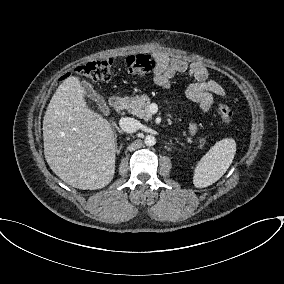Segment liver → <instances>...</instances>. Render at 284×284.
Wrapping results in <instances>:
<instances>
[{"label": "liver", "instance_id": "1", "mask_svg": "<svg viewBox=\"0 0 284 284\" xmlns=\"http://www.w3.org/2000/svg\"><path fill=\"white\" fill-rule=\"evenodd\" d=\"M84 94L75 76L56 89L43 119L44 155L65 183L95 190L113 179L116 146L111 124L87 106Z\"/></svg>", "mask_w": 284, "mask_h": 284}]
</instances>
